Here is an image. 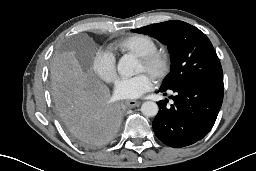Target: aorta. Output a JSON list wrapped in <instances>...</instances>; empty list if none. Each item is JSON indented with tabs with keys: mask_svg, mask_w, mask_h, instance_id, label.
Returning <instances> with one entry per match:
<instances>
[{
	"mask_svg": "<svg viewBox=\"0 0 256 171\" xmlns=\"http://www.w3.org/2000/svg\"><path fill=\"white\" fill-rule=\"evenodd\" d=\"M138 69L137 60L130 55L121 57L117 64V70L122 76H133ZM158 105L153 101H146L141 106V112L147 117L156 116L158 113Z\"/></svg>",
	"mask_w": 256,
	"mask_h": 171,
	"instance_id": "obj_1",
	"label": "aorta"
}]
</instances>
